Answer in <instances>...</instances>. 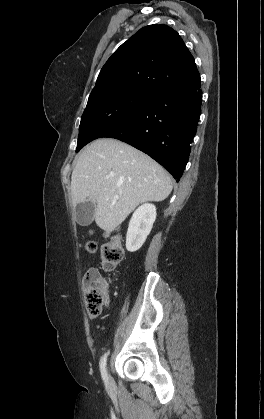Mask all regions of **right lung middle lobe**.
<instances>
[{
    "label": "right lung middle lobe",
    "instance_id": "right-lung-middle-lobe-1",
    "mask_svg": "<svg viewBox=\"0 0 264 419\" xmlns=\"http://www.w3.org/2000/svg\"><path fill=\"white\" fill-rule=\"evenodd\" d=\"M153 94L131 85H110L93 90L81 117L76 152L126 120Z\"/></svg>",
    "mask_w": 264,
    "mask_h": 419
}]
</instances>
